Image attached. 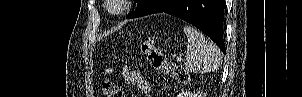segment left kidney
<instances>
[{"mask_svg": "<svg viewBox=\"0 0 302 97\" xmlns=\"http://www.w3.org/2000/svg\"><path fill=\"white\" fill-rule=\"evenodd\" d=\"M177 97H205L204 93H200V92H197V93H192L190 91H185V92H182V93H179L177 95Z\"/></svg>", "mask_w": 302, "mask_h": 97, "instance_id": "5707ae66", "label": "left kidney"}]
</instances>
